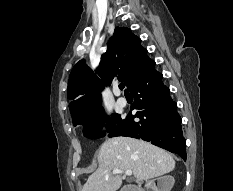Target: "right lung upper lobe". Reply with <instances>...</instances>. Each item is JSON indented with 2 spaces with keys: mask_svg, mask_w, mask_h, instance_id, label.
Here are the masks:
<instances>
[{
  "mask_svg": "<svg viewBox=\"0 0 233 191\" xmlns=\"http://www.w3.org/2000/svg\"><path fill=\"white\" fill-rule=\"evenodd\" d=\"M140 39L129 28L116 27L108 50L102 55L98 74L102 82H97L94 72L85 60L79 61L72 69L67 96L72 117L101 106L102 85H110L114 78L124 81L128 87L148 59L147 50Z\"/></svg>",
  "mask_w": 233,
  "mask_h": 191,
  "instance_id": "obj_1",
  "label": "right lung upper lobe"
}]
</instances>
